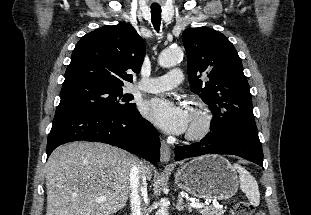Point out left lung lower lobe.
I'll return each mask as SVG.
<instances>
[{"instance_id":"0a47b994","label":"left lung lower lobe","mask_w":311,"mask_h":215,"mask_svg":"<svg viewBox=\"0 0 311 215\" xmlns=\"http://www.w3.org/2000/svg\"><path fill=\"white\" fill-rule=\"evenodd\" d=\"M175 160L204 154H230L263 165V152L253 121H237L212 130L200 142L175 147Z\"/></svg>"}]
</instances>
